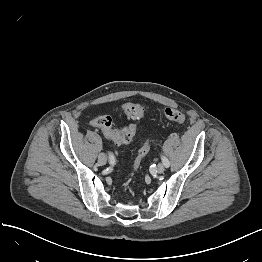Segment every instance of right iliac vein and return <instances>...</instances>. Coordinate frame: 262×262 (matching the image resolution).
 I'll return each mask as SVG.
<instances>
[{"instance_id":"obj_1","label":"right iliac vein","mask_w":262,"mask_h":262,"mask_svg":"<svg viewBox=\"0 0 262 262\" xmlns=\"http://www.w3.org/2000/svg\"><path fill=\"white\" fill-rule=\"evenodd\" d=\"M107 162V156L104 153H100L98 156V163L100 165H105Z\"/></svg>"}]
</instances>
